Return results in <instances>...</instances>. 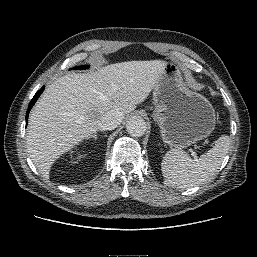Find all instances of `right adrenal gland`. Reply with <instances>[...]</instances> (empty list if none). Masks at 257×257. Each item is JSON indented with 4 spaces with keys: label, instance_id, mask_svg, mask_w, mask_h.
<instances>
[{
    "label": "right adrenal gland",
    "instance_id": "1",
    "mask_svg": "<svg viewBox=\"0 0 257 257\" xmlns=\"http://www.w3.org/2000/svg\"><path fill=\"white\" fill-rule=\"evenodd\" d=\"M90 139L97 140V131L94 132V134L89 137V140Z\"/></svg>",
    "mask_w": 257,
    "mask_h": 257
}]
</instances>
